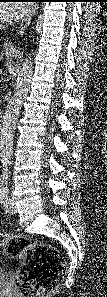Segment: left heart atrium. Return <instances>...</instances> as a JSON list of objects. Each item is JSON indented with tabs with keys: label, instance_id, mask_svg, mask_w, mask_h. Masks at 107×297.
<instances>
[{
	"label": "left heart atrium",
	"instance_id": "1",
	"mask_svg": "<svg viewBox=\"0 0 107 297\" xmlns=\"http://www.w3.org/2000/svg\"><path fill=\"white\" fill-rule=\"evenodd\" d=\"M6 16L12 19L23 17L29 11V4L27 3H9L4 7Z\"/></svg>",
	"mask_w": 107,
	"mask_h": 297
}]
</instances>
